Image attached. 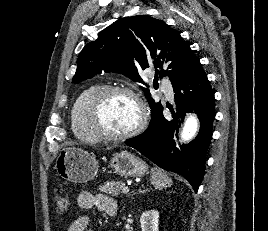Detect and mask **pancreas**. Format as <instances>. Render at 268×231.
<instances>
[{"instance_id":"pancreas-1","label":"pancreas","mask_w":268,"mask_h":231,"mask_svg":"<svg viewBox=\"0 0 268 231\" xmlns=\"http://www.w3.org/2000/svg\"><path fill=\"white\" fill-rule=\"evenodd\" d=\"M124 185L125 184L121 181H107L103 185L99 186V190L112 196H118Z\"/></svg>"}]
</instances>
